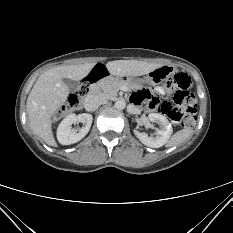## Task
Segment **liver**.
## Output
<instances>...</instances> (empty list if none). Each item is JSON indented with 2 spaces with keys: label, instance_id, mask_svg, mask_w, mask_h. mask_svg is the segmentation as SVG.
Segmentation results:
<instances>
[{
  "label": "liver",
  "instance_id": "1",
  "mask_svg": "<svg viewBox=\"0 0 233 233\" xmlns=\"http://www.w3.org/2000/svg\"><path fill=\"white\" fill-rule=\"evenodd\" d=\"M95 63L57 66L44 72L28 95L26 110L32 131L50 146H57L51 118L66 102L70 90L64 79L79 81L89 75ZM161 64L135 60L110 61L106 67L116 76H141L160 67Z\"/></svg>",
  "mask_w": 233,
  "mask_h": 233
}]
</instances>
